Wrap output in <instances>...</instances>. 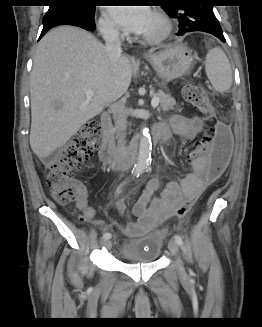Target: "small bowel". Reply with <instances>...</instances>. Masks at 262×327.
I'll use <instances>...</instances> for the list:
<instances>
[{"instance_id": "1", "label": "small bowel", "mask_w": 262, "mask_h": 327, "mask_svg": "<svg viewBox=\"0 0 262 327\" xmlns=\"http://www.w3.org/2000/svg\"><path fill=\"white\" fill-rule=\"evenodd\" d=\"M205 125L206 120L203 117L189 118L176 115L171 118L168 124L161 123L158 125L159 140L163 143H169L173 135H176L183 140L192 141L203 132ZM192 160H197L193 165V171L180 181L168 182L155 198H152V195L160 190L161 182L159 179L148 181L141 196L133 206V213L137 217V221L127 223L124 226L119 225L125 234L138 236L151 231L171 217L172 211L177 212V206H181L184 200H192L193 202L196 200L209 183V164L208 160L204 158V153H188L185 165L191 166ZM77 207L81 212L82 220L92 222L95 225H102L101 221L93 219L94 211L89 206L84 192L77 200Z\"/></svg>"}]
</instances>
